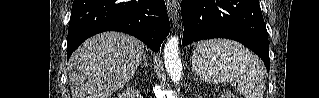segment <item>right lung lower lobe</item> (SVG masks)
<instances>
[{
  "label": "right lung lower lobe",
  "mask_w": 319,
  "mask_h": 98,
  "mask_svg": "<svg viewBox=\"0 0 319 98\" xmlns=\"http://www.w3.org/2000/svg\"><path fill=\"white\" fill-rule=\"evenodd\" d=\"M169 30L164 0H74L67 58L87 38L104 31L133 35L156 52Z\"/></svg>",
  "instance_id": "obj_1"
}]
</instances>
